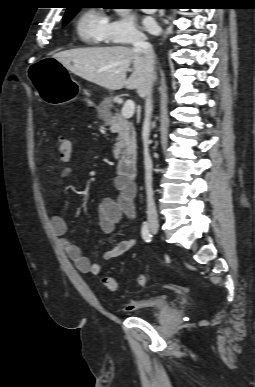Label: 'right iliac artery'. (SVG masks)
I'll return each instance as SVG.
<instances>
[{"instance_id":"obj_1","label":"right iliac artery","mask_w":255,"mask_h":387,"mask_svg":"<svg viewBox=\"0 0 255 387\" xmlns=\"http://www.w3.org/2000/svg\"><path fill=\"white\" fill-rule=\"evenodd\" d=\"M141 234H142V238L146 241V242H150L151 239H152V234L150 232V229H149V226L147 223H143L142 225V228H141Z\"/></svg>"}]
</instances>
